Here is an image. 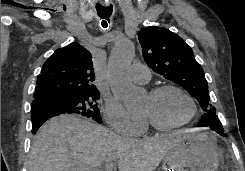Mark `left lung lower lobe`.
Returning <instances> with one entry per match:
<instances>
[{"label": "left lung lower lobe", "instance_id": "1", "mask_svg": "<svg viewBox=\"0 0 245 171\" xmlns=\"http://www.w3.org/2000/svg\"><path fill=\"white\" fill-rule=\"evenodd\" d=\"M200 127H210L221 136H226L223 130V126L216 116V114L205 113L198 122Z\"/></svg>", "mask_w": 245, "mask_h": 171}]
</instances>
